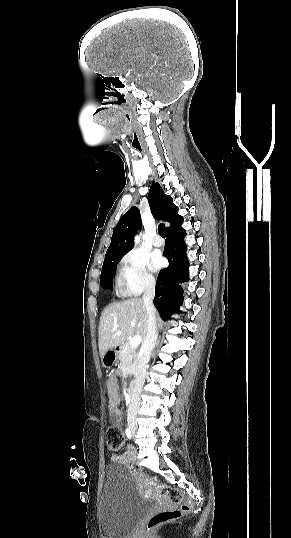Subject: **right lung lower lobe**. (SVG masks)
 <instances>
[{"label":"right lung lower lobe","instance_id":"98d812e1","mask_svg":"<svg viewBox=\"0 0 291 538\" xmlns=\"http://www.w3.org/2000/svg\"><path fill=\"white\" fill-rule=\"evenodd\" d=\"M185 235L181 225L166 232L163 253L169 266L159 272L153 301L163 319H169L173 313H180L179 307L183 303V289L179 283L189 280Z\"/></svg>","mask_w":291,"mask_h":538}]
</instances>
